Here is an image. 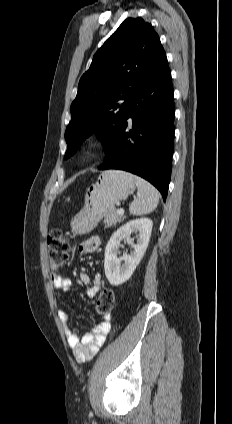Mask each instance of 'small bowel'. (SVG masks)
Listing matches in <instances>:
<instances>
[{
  "label": "small bowel",
  "instance_id": "c3829d8e",
  "mask_svg": "<svg viewBox=\"0 0 232 424\" xmlns=\"http://www.w3.org/2000/svg\"><path fill=\"white\" fill-rule=\"evenodd\" d=\"M99 245V238L90 237L80 244L79 251L82 254L94 253ZM79 279L83 284L88 286L87 296L90 298L96 297L101 289L100 277L97 274L90 275L86 272H81ZM51 283L61 293H66L72 289L71 279L61 273H53L51 275ZM57 313L60 322L64 326L65 336L75 359L79 363L91 361L103 346L106 335L111 329L112 314L105 315V321L103 323L95 327L91 333H87L80 338L78 332L70 326L71 314L63 308L58 309Z\"/></svg>",
  "mask_w": 232,
  "mask_h": 424
}]
</instances>
